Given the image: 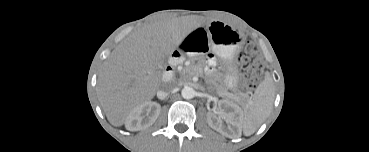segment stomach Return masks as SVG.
Instances as JSON below:
<instances>
[{"instance_id": "1", "label": "stomach", "mask_w": 369, "mask_h": 152, "mask_svg": "<svg viewBox=\"0 0 369 152\" xmlns=\"http://www.w3.org/2000/svg\"><path fill=\"white\" fill-rule=\"evenodd\" d=\"M205 31L212 51L224 62L230 64L235 52L243 43L244 36L236 29L220 21L210 23ZM237 82L235 73L226 75L225 83L228 88H235Z\"/></svg>"}]
</instances>
